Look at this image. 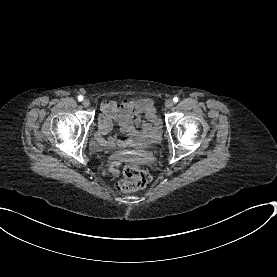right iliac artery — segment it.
Masks as SVG:
<instances>
[{
    "mask_svg": "<svg viewBox=\"0 0 277 277\" xmlns=\"http://www.w3.org/2000/svg\"><path fill=\"white\" fill-rule=\"evenodd\" d=\"M78 100L82 101L83 100V96L82 95L78 96Z\"/></svg>",
    "mask_w": 277,
    "mask_h": 277,
    "instance_id": "right-iliac-artery-1",
    "label": "right iliac artery"
}]
</instances>
